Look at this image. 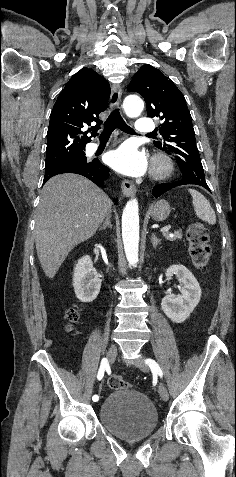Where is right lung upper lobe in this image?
Returning a JSON list of instances; mask_svg holds the SVG:
<instances>
[{
	"mask_svg": "<svg viewBox=\"0 0 236 477\" xmlns=\"http://www.w3.org/2000/svg\"><path fill=\"white\" fill-rule=\"evenodd\" d=\"M109 83L94 70L82 68L58 96L50 115L47 132L46 164H53L79 152L90 142V137L81 136V129L96 122L97 131L102 124L98 115L108 105Z\"/></svg>",
	"mask_w": 236,
	"mask_h": 477,
	"instance_id": "cb5924a9",
	"label": "right lung upper lobe"
}]
</instances>
